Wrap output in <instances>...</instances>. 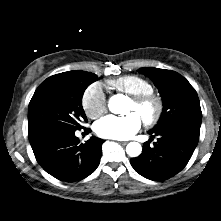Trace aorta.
Wrapping results in <instances>:
<instances>
[{"mask_svg": "<svg viewBox=\"0 0 221 221\" xmlns=\"http://www.w3.org/2000/svg\"><path fill=\"white\" fill-rule=\"evenodd\" d=\"M120 100V96L115 95L110 98L108 107L112 112H116L117 104ZM126 152L130 157H137L142 152L141 144L138 142H130L126 146Z\"/></svg>", "mask_w": 221, "mask_h": 221, "instance_id": "1", "label": "aorta"}]
</instances>
